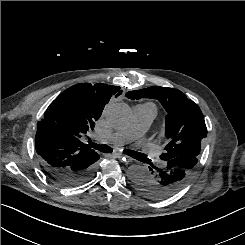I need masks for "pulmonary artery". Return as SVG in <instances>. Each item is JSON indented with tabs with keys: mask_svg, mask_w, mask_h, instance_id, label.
<instances>
[{
	"mask_svg": "<svg viewBox=\"0 0 245 245\" xmlns=\"http://www.w3.org/2000/svg\"><path fill=\"white\" fill-rule=\"evenodd\" d=\"M157 115L155 106L138 104L134 107V116L131 124L110 135L107 140L115 145L127 143L143 134Z\"/></svg>",
	"mask_w": 245,
	"mask_h": 245,
	"instance_id": "obj_1",
	"label": "pulmonary artery"
}]
</instances>
